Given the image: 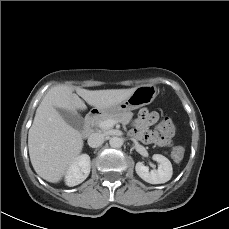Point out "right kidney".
<instances>
[{
  "label": "right kidney",
  "mask_w": 229,
  "mask_h": 229,
  "mask_svg": "<svg viewBox=\"0 0 229 229\" xmlns=\"http://www.w3.org/2000/svg\"><path fill=\"white\" fill-rule=\"evenodd\" d=\"M91 168L90 157L82 154L77 157L73 164L68 168L65 175L66 185L69 187L82 183L89 175Z\"/></svg>",
  "instance_id": "right-kidney-1"
}]
</instances>
